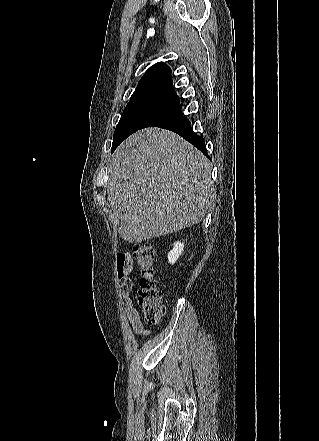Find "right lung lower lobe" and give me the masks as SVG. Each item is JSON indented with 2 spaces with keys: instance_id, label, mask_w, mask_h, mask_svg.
I'll return each instance as SVG.
<instances>
[{
  "instance_id": "obj_1",
  "label": "right lung lower lobe",
  "mask_w": 319,
  "mask_h": 441,
  "mask_svg": "<svg viewBox=\"0 0 319 441\" xmlns=\"http://www.w3.org/2000/svg\"><path fill=\"white\" fill-rule=\"evenodd\" d=\"M181 106L182 104L180 103L176 104L171 109L152 120L146 127L156 126L173 131L193 144L208 157L203 137L193 132L190 121L181 111Z\"/></svg>"
}]
</instances>
